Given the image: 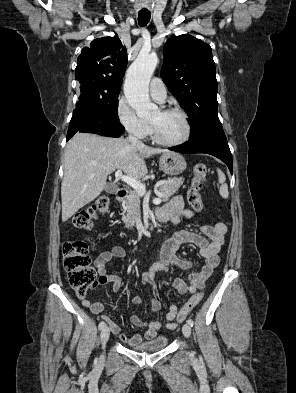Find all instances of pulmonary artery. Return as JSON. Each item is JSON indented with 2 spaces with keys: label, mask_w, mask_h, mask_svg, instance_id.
I'll list each match as a JSON object with an SVG mask.
<instances>
[{
  "label": "pulmonary artery",
  "mask_w": 296,
  "mask_h": 393,
  "mask_svg": "<svg viewBox=\"0 0 296 393\" xmlns=\"http://www.w3.org/2000/svg\"><path fill=\"white\" fill-rule=\"evenodd\" d=\"M150 94L152 98L159 103H163L165 101L167 97V90L160 78L155 77L151 80Z\"/></svg>",
  "instance_id": "pulmonary-artery-1"
}]
</instances>
